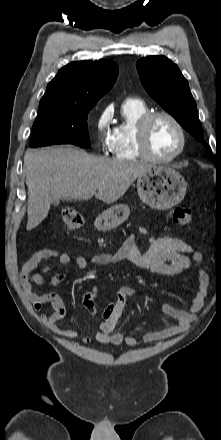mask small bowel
Masks as SVG:
<instances>
[{
    "mask_svg": "<svg viewBox=\"0 0 221 440\" xmlns=\"http://www.w3.org/2000/svg\"><path fill=\"white\" fill-rule=\"evenodd\" d=\"M140 232L145 234L146 230L140 228ZM51 259L58 261L62 265H69L74 262L76 267L80 270H85L89 263L111 265L127 260L136 267L148 269L160 275L182 276L192 267L193 263H200L202 261V255L194 251L183 240L169 235L151 237L149 239V248L145 252H142L138 245L136 235L132 233L115 253L96 254L90 258L78 256L73 260L67 253L52 249H40L35 251L24 263L20 271V280L27 299L38 313L42 312L45 304H50L53 309V312L50 314L41 313V319L48 328L60 332L66 337L77 338L83 343L95 341L116 346L121 344L136 346L138 341L134 336L114 332L118 320L128 306L129 297L138 293L137 290L130 286L123 285L118 288L116 301L114 302L116 309L113 312V317L103 318L99 324L98 331L93 337L82 336L76 329L62 328L59 326V322L64 320L67 314V309L62 297L55 292L39 294L32 290L33 284L42 287H51L58 285L64 280V274L57 271L53 266L38 268L41 261ZM47 273L54 274L50 278H45L44 274ZM196 275L198 278V289L194 294L189 310L183 311L168 304H163L161 306L162 312L173 318L176 324L161 331L145 332L142 335L144 342L150 343L171 338L182 333L190 326L196 314L203 307L209 285V278L204 270L198 269Z\"/></svg>",
    "mask_w": 221,
    "mask_h": 440,
    "instance_id": "obj_1",
    "label": "small bowel"
}]
</instances>
